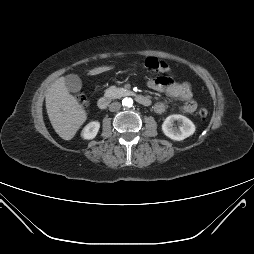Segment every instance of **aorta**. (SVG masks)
<instances>
[{
	"mask_svg": "<svg viewBox=\"0 0 254 254\" xmlns=\"http://www.w3.org/2000/svg\"><path fill=\"white\" fill-rule=\"evenodd\" d=\"M122 105L125 106V107H132L133 100L131 98H124L122 100Z\"/></svg>",
	"mask_w": 254,
	"mask_h": 254,
	"instance_id": "762f6f07",
	"label": "aorta"
}]
</instances>
